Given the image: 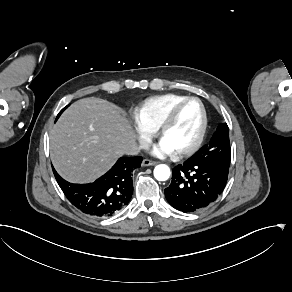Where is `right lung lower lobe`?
Returning <instances> with one entry per match:
<instances>
[{
	"label": "right lung lower lobe",
	"mask_w": 292,
	"mask_h": 292,
	"mask_svg": "<svg viewBox=\"0 0 292 292\" xmlns=\"http://www.w3.org/2000/svg\"><path fill=\"white\" fill-rule=\"evenodd\" d=\"M142 157H122L93 183L73 184L53 168L55 178L67 199L80 211L94 217H109L124 208L133 193L131 173L141 166Z\"/></svg>",
	"instance_id": "right-lung-lower-lobe-1"
}]
</instances>
